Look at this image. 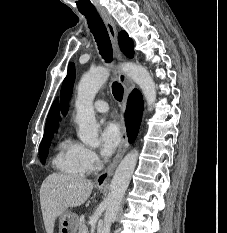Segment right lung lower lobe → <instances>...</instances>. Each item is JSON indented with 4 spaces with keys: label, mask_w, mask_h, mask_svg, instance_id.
Masks as SVG:
<instances>
[{
    "label": "right lung lower lobe",
    "mask_w": 227,
    "mask_h": 233,
    "mask_svg": "<svg viewBox=\"0 0 227 233\" xmlns=\"http://www.w3.org/2000/svg\"><path fill=\"white\" fill-rule=\"evenodd\" d=\"M133 93L129 97L125 114L129 142H133L135 140L140 126L139 122L137 121V109L134 103Z\"/></svg>",
    "instance_id": "1"
}]
</instances>
